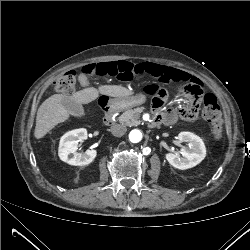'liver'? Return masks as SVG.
I'll use <instances>...</instances> for the list:
<instances>
[{"mask_svg":"<svg viewBox=\"0 0 250 250\" xmlns=\"http://www.w3.org/2000/svg\"><path fill=\"white\" fill-rule=\"evenodd\" d=\"M99 94L109 97H126L133 94V91L120 85H102L98 89L94 87L77 91L71 96L55 94L46 99L38 108L34 136L36 139L43 138L50 130L59 123L69 119V113L61 104L63 98H71L80 104H88L96 100Z\"/></svg>","mask_w":250,"mask_h":250,"instance_id":"1","label":"liver"}]
</instances>
